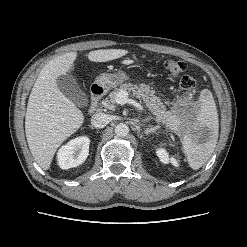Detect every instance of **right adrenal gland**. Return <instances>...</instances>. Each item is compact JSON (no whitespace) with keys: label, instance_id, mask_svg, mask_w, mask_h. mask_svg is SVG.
Listing matches in <instances>:
<instances>
[{"label":"right adrenal gland","instance_id":"1","mask_svg":"<svg viewBox=\"0 0 247 247\" xmlns=\"http://www.w3.org/2000/svg\"><path fill=\"white\" fill-rule=\"evenodd\" d=\"M91 129H94V127L92 125H88Z\"/></svg>","mask_w":247,"mask_h":247}]
</instances>
